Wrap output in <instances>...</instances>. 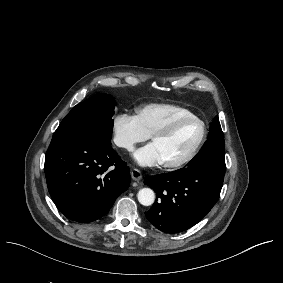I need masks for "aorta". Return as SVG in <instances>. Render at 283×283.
<instances>
[{
    "instance_id": "obj_1",
    "label": "aorta",
    "mask_w": 283,
    "mask_h": 283,
    "mask_svg": "<svg viewBox=\"0 0 283 283\" xmlns=\"http://www.w3.org/2000/svg\"><path fill=\"white\" fill-rule=\"evenodd\" d=\"M137 198L140 204L150 206L155 201V193L150 188H142L139 190Z\"/></svg>"
}]
</instances>
